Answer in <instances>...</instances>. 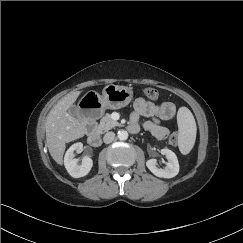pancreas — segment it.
<instances>
[{"label":"pancreas","instance_id":"cf45deb5","mask_svg":"<svg viewBox=\"0 0 243 243\" xmlns=\"http://www.w3.org/2000/svg\"><path fill=\"white\" fill-rule=\"evenodd\" d=\"M116 126H120V124L117 121H114L111 118L110 114H106L101 120L100 123L98 125V131L99 133H104L107 132L108 130L116 127Z\"/></svg>","mask_w":243,"mask_h":243}]
</instances>
